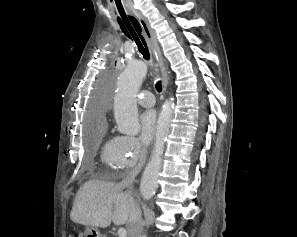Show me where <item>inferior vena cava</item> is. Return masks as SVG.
I'll use <instances>...</instances> for the list:
<instances>
[{
	"label": "inferior vena cava",
	"mask_w": 297,
	"mask_h": 237,
	"mask_svg": "<svg viewBox=\"0 0 297 237\" xmlns=\"http://www.w3.org/2000/svg\"><path fill=\"white\" fill-rule=\"evenodd\" d=\"M137 174V169L131 170L118 184L121 188H127L126 195L128 196L130 205L129 218L127 221L128 237H143L142 211L139 204L133 199L131 191Z\"/></svg>",
	"instance_id": "inferior-vena-cava-1"
}]
</instances>
